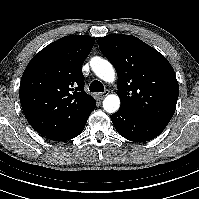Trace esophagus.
<instances>
[{
	"label": "esophagus",
	"instance_id": "1",
	"mask_svg": "<svg viewBox=\"0 0 199 199\" xmlns=\"http://www.w3.org/2000/svg\"><path fill=\"white\" fill-rule=\"evenodd\" d=\"M110 93V91L109 90H106V91H104L103 93H99L98 94V97L100 98V99H103L105 96H107L108 94Z\"/></svg>",
	"mask_w": 199,
	"mask_h": 199
}]
</instances>
